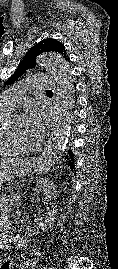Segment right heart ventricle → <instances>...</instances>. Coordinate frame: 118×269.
Listing matches in <instances>:
<instances>
[{
	"instance_id": "1",
	"label": "right heart ventricle",
	"mask_w": 118,
	"mask_h": 269,
	"mask_svg": "<svg viewBox=\"0 0 118 269\" xmlns=\"http://www.w3.org/2000/svg\"><path fill=\"white\" fill-rule=\"evenodd\" d=\"M11 112L0 108V155L17 154L22 150V145L15 136L4 128V122Z\"/></svg>"
}]
</instances>
